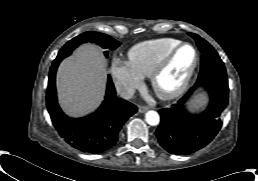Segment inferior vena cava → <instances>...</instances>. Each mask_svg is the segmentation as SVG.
I'll return each instance as SVG.
<instances>
[{
	"instance_id": "1",
	"label": "inferior vena cava",
	"mask_w": 258,
	"mask_h": 181,
	"mask_svg": "<svg viewBox=\"0 0 258 181\" xmlns=\"http://www.w3.org/2000/svg\"><path fill=\"white\" fill-rule=\"evenodd\" d=\"M117 94L123 99H131L134 96L135 89L133 86L124 83L116 84Z\"/></svg>"
}]
</instances>
